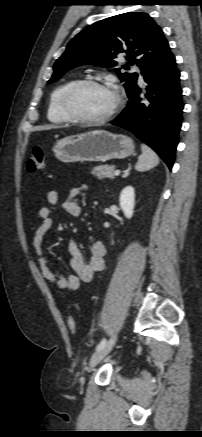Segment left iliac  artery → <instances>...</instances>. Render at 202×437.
Segmentation results:
<instances>
[{
  "label": "left iliac artery",
  "mask_w": 202,
  "mask_h": 437,
  "mask_svg": "<svg viewBox=\"0 0 202 437\" xmlns=\"http://www.w3.org/2000/svg\"><path fill=\"white\" fill-rule=\"evenodd\" d=\"M105 344H106V339L103 338V339L100 341V343L97 345L96 350H99V349L103 348V347L105 346Z\"/></svg>",
  "instance_id": "obj_1"
}]
</instances>
